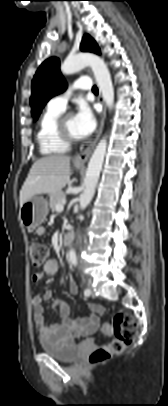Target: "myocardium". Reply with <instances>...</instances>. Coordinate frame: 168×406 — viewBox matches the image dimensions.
Returning a JSON list of instances; mask_svg holds the SVG:
<instances>
[{
  "label": "myocardium",
  "instance_id": "1",
  "mask_svg": "<svg viewBox=\"0 0 168 406\" xmlns=\"http://www.w3.org/2000/svg\"><path fill=\"white\" fill-rule=\"evenodd\" d=\"M72 115L71 112H64L60 115L56 123V131L59 138L69 145L77 143L80 140L79 137L71 135L66 128V120Z\"/></svg>",
  "mask_w": 168,
  "mask_h": 406
}]
</instances>
